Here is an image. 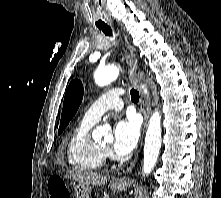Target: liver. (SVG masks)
I'll use <instances>...</instances> for the list:
<instances>
[{"mask_svg": "<svg viewBox=\"0 0 221 198\" xmlns=\"http://www.w3.org/2000/svg\"><path fill=\"white\" fill-rule=\"evenodd\" d=\"M65 177L94 186H101L107 182V176L82 170L68 171Z\"/></svg>", "mask_w": 221, "mask_h": 198, "instance_id": "1", "label": "liver"}]
</instances>
